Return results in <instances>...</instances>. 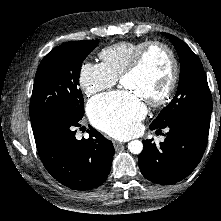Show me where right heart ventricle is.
<instances>
[{
	"instance_id": "e07e8e85",
	"label": "right heart ventricle",
	"mask_w": 221,
	"mask_h": 221,
	"mask_svg": "<svg viewBox=\"0 0 221 221\" xmlns=\"http://www.w3.org/2000/svg\"><path fill=\"white\" fill-rule=\"evenodd\" d=\"M145 43L118 42L110 45L100 52L102 65L117 79L122 77L123 72L131 63L136 51Z\"/></svg>"
}]
</instances>
